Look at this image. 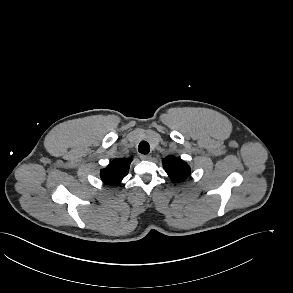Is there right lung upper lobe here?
I'll list each match as a JSON object with an SVG mask.
<instances>
[{
  "label": "right lung upper lobe",
  "mask_w": 293,
  "mask_h": 293,
  "mask_svg": "<svg viewBox=\"0 0 293 293\" xmlns=\"http://www.w3.org/2000/svg\"><path fill=\"white\" fill-rule=\"evenodd\" d=\"M131 158H117L100 171L103 182L109 185L121 183L122 179L128 174Z\"/></svg>",
  "instance_id": "1"
}]
</instances>
